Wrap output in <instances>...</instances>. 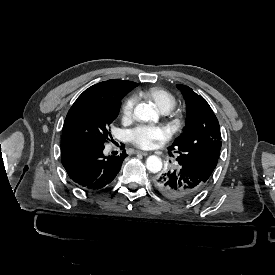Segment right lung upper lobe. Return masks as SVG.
<instances>
[{"label": "right lung upper lobe", "instance_id": "1", "mask_svg": "<svg viewBox=\"0 0 275 275\" xmlns=\"http://www.w3.org/2000/svg\"><path fill=\"white\" fill-rule=\"evenodd\" d=\"M136 86L135 82L125 80H108L100 82L85 90L74 102L72 108L96 101H121L127 92Z\"/></svg>", "mask_w": 275, "mask_h": 275}]
</instances>
